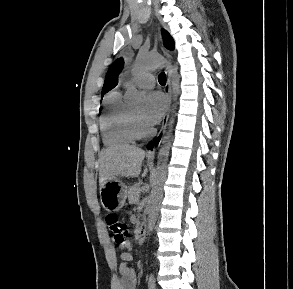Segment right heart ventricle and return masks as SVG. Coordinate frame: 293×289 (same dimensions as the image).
Listing matches in <instances>:
<instances>
[{
  "label": "right heart ventricle",
  "mask_w": 293,
  "mask_h": 289,
  "mask_svg": "<svg viewBox=\"0 0 293 289\" xmlns=\"http://www.w3.org/2000/svg\"><path fill=\"white\" fill-rule=\"evenodd\" d=\"M130 116L131 112L123 102L121 91H111L105 97L104 114L100 121L103 141L106 145H126L135 140Z\"/></svg>",
  "instance_id": "obj_1"
}]
</instances>
